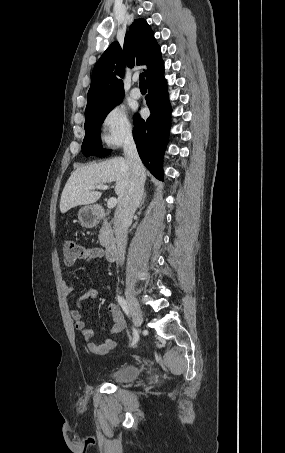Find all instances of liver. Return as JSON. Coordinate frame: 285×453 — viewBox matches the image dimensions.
<instances>
[{
	"mask_svg": "<svg viewBox=\"0 0 285 453\" xmlns=\"http://www.w3.org/2000/svg\"><path fill=\"white\" fill-rule=\"evenodd\" d=\"M130 178V167L122 157L79 167L65 184L61 194L60 211L64 214L76 206L97 202L102 193L92 191L90 187L110 182H115V193L120 202L128 191Z\"/></svg>",
	"mask_w": 285,
	"mask_h": 453,
	"instance_id": "1",
	"label": "liver"
}]
</instances>
